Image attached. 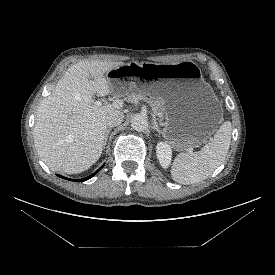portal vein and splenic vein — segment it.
<instances>
[{
	"instance_id": "18ae733b",
	"label": "portal vein and splenic vein",
	"mask_w": 275,
	"mask_h": 275,
	"mask_svg": "<svg viewBox=\"0 0 275 275\" xmlns=\"http://www.w3.org/2000/svg\"><path fill=\"white\" fill-rule=\"evenodd\" d=\"M101 104H102L101 101H96V102H95V105H96V106H101ZM187 152H188L189 154H193V149H192V148H189Z\"/></svg>"
}]
</instances>
